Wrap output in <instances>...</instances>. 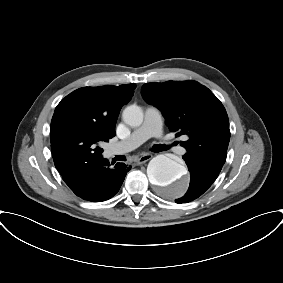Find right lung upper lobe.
<instances>
[{"label":"right lung upper lobe","mask_w":283,"mask_h":283,"mask_svg":"<svg viewBox=\"0 0 283 283\" xmlns=\"http://www.w3.org/2000/svg\"><path fill=\"white\" fill-rule=\"evenodd\" d=\"M135 84L83 87L57 105L50 127L54 164L61 173L72 164L70 132H95L108 141L115 136L119 112L133 96Z\"/></svg>","instance_id":"cb5924a9"}]
</instances>
